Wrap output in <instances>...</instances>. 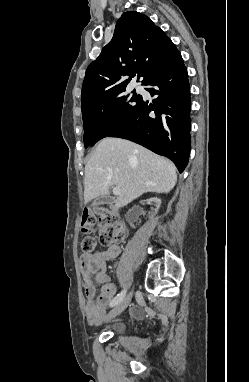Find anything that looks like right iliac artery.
<instances>
[{"instance_id":"obj_1","label":"right iliac artery","mask_w":249,"mask_h":382,"mask_svg":"<svg viewBox=\"0 0 249 382\" xmlns=\"http://www.w3.org/2000/svg\"><path fill=\"white\" fill-rule=\"evenodd\" d=\"M126 291H122L119 293L111 302H110V307H113L117 305L125 296Z\"/></svg>"}]
</instances>
